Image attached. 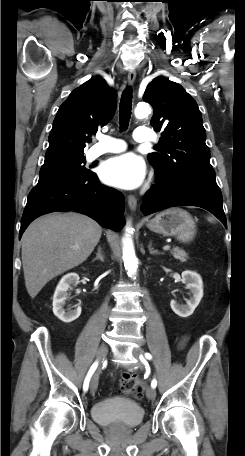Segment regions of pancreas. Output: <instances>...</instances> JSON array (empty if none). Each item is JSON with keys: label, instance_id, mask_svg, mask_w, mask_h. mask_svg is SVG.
Wrapping results in <instances>:
<instances>
[{"label": "pancreas", "instance_id": "pancreas-1", "mask_svg": "<svg viewBox=\"0 0 245 456\" xmlns=\"http://www.w3.org/2000/svg\"><path fill=\"white\" fill-rule=\"evenodd\" d=\"M171 254L175 259H178L181 262H186L188 259L187 253L183 249H180L178 247L173 248Z\"/></svg>", "mask_w": 245, "mask_h": 456}]
</instances>
